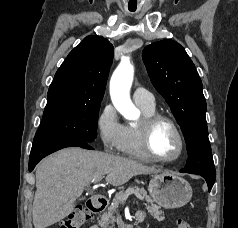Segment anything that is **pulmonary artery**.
I'll use <instances>...</instances> for the list:
<instances>
[{"label":"pulmonary artery","mask_w":238,"mask_h":228,"mask_svg":"<svg viewBox=\"0 0 238 228\" xmlns=\"http://www.w3.org/2000/svg\"><path fill=\"white\" fill-rule=\"evenodd\" d=\"M133 100L137 105L145 107L155 106V101L153 95L143 87H137L133 91Z\"/></svg>","instance_id":"e3ab8cb5"}]
</instances>
